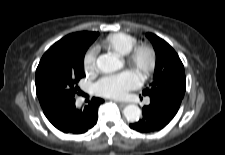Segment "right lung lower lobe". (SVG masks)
<instances>
[{
	"label": "right lung lower lobe",
	"instance_id": "1",
	"mask_svg": "<svg viewBox=\"0 0 225 155\" xmlns=\"http://www.w3.org/2000/svg\"><path fill=\"white\" fill-rule=\"evenodd\" d=\"M103 102L92 98L83 110L75 107L74 98L59 99L43 107V112L51 124L64 133L82 134L97 122L98 107Z\"/></svg>",
	"mask_w": 225,
	"mask_h": 155
}]
</instances>
